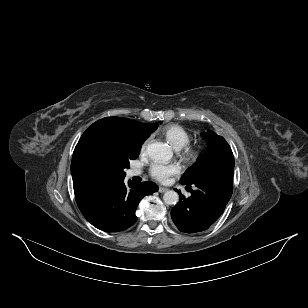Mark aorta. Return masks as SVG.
I'll return each mask as SVG.
<instances>
[{"instance_id":"1","label":"aorta","mask_w":308,"mask_h":308,"mask_svg":"<svg viewBox=\"0 0 308 308\" xmlns=\"http://www.w3.org/2000/svg\"><path fill=\"white\" fill-rule=\"evenodd\" d=\"M147 154L152 160H170L173 152L169 145L163 142H154L147 147ZM163 200L167 205H175L179 200V195L173 190L164 193Z\"/></svg>"}]
</instances>
